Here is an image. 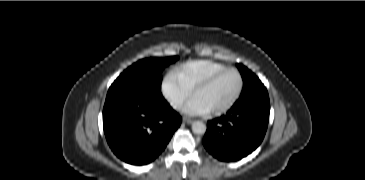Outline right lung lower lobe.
<instances>
[{"label":"right lung lower lobe","instance_id":"1","mask_svg":"<svg viewBox=\"0 0 365 180\" xmlns=\"http://www.w3.org/2000/svg\"><path fill=\"white\" fill-rule=\"evenodd\" d=\"M181 117L161 91L133 89L107 97L103 128L111 150L134 165L152 162L165 149Z\"/></svg>","mask_w":365,"mask_h":180}]
</instances>
